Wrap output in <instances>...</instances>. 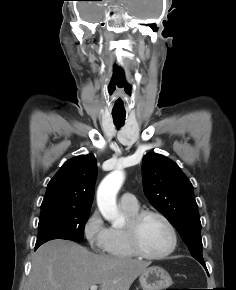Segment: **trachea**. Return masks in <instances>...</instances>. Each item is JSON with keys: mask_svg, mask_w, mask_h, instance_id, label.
Listing matches in <instances>:
<instances>
[{"mask_svg": "<svg viewBox=\"0 0 236 290\" xmlns=\"http://www.w3.org/2000/svg\"><path fill=\"white\" fill-rule=\"evenodd\" d=\"M114 124L117 128L124 125L126 113H112Z\"/></svg>", "mask_w": 236, "mask_h": 290, "instance_id": "1", "label": "trachea"}]
</instances>
